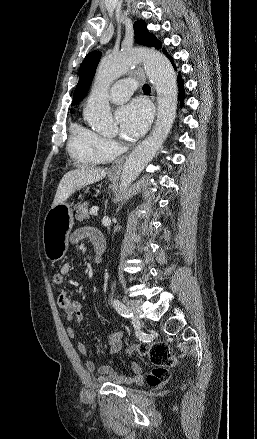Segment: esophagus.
<instances>
[{"instance_id": "obj_1", "label": "esophagus", "mask_w": 257, "mask_h": 439, "mask_svg": "<svg viewBox=\"0 0 257 439\" xmlns=\"http://www.w3.org/2000/svg\"><path fill=\"white\" fill-rule=\"evenodd\" d=\"M152 93L154 94V89H153V88H152ZM126 157H127V156L124 155V156L118 158V159L113 163V165H112L113 170H120V169L122 168V166H123V163H124Z\"/></svg>"}]
</instances>
